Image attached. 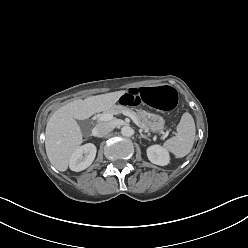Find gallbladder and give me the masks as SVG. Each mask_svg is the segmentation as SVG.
<instances>
[{"label": "gallbladder", "mask_w": 248, "mask_h": 248, "mask_svg": "<svg viewBox=\"0 0 248 248\" xmlns=\"http://www.w3.org/2000/svg\"><path fill=\"white\" fill-rule=\"evenodd\" d=\"M78 124L83 132H87L89 130L90 122L88 120H80L78 121Z\"/></svg>", "instance_id": "bac80fb5"}]
</instances>
